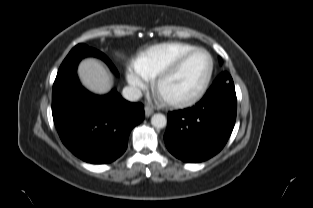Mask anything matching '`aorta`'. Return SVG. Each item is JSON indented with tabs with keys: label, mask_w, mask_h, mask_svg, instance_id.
Instances as JSON below:
<instances>
[{
	"label": "aorta",
	"mask_w": 313,
	"mask_h": 208,
	"mask_svg": "<svg viewBox=\"0 0 313 208\" xmlns=\"http://www.w3.org/2000/svg\"><path fill=\"white\" fill-rule=\"evenodd\" d=\"M151 124L155 128H164L167 124V118L161 113L154 114L151 118Z\"/></svg>",
	"instance_id": "1"
}]
</instances>
